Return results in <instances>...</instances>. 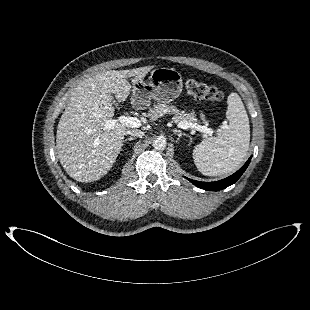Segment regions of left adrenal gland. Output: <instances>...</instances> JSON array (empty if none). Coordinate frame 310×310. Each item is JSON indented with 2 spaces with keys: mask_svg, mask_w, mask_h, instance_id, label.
Wrapping results in <instances>:
<instances>
[{
  "mask_svg": "<svg viewBox=\"0 0 310 310\" xmlns=\"http://www.w3.org/2000/svg\"><path fill=\"white\" fill-rule=\"evenodd\" d=\"M173 132H174L175 134H178V139H177V141H179L180 138H181L182 136H187L185 133H182L181 130L174 129Z\"/></svg>",
  "mask_w": 310,
  "mask_h": 310,
  "instance_id": "left-adrenal-gland-1",
  "label": "left adrenal gland"
}]
</instances>
